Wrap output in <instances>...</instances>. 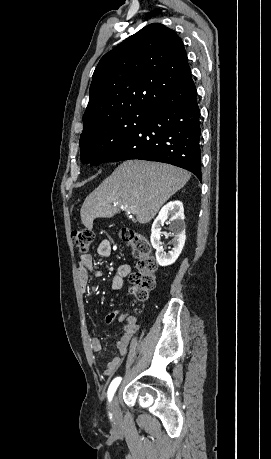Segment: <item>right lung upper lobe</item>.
<instances>
[{
	"label": "right lung upper lobe",
	"mask_w": 271,
	"mask_h": 459,
	"mask_svg": "<svg viewBox=\"0 0 271 459\" xmlns=\"http://www.w3.org/2000/svg\"><path fill=\"white\" fill-rule=\"evenodd\" d=\"M191 80L181 38L160 23L147 25L99 61L83 123L139 105L155 107Z\"/></svg>",
	"instance_id": "cb5924a9"
}]
</instances>
